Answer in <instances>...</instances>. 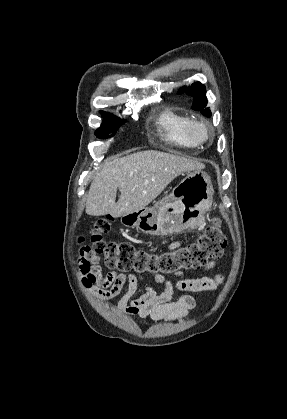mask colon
Returning <instances> with one entry per match:
<instances>
[{
  "label": "colon",
  "instance_id": "obj_1",
  "mask_svg": "<svg viewBox=\"0 0 287 419\" xmlns=\"http://www.w3.org/2000/svg\"><path fill=\"white\" fill-rule=\"evenodd\" d=\"M112 218H99L91 230V252L102 255L106 265L120 271L138 274H173L179 271L198 270L211 260L219 258L227 240L214 217L200 238L172 252L154 253L127 243L107 242L103 235L110 230Z\"/></svg>",
  "mask_w": 287,
  "mask_h": 419
}]
</instances>
